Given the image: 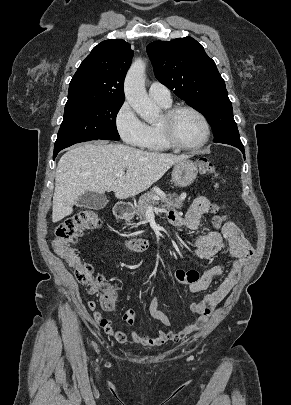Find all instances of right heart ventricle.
<instances>
[{
	"label": "right heart ventricle",
	"mask_w": 291,
	"mask_h": 405,
	"mask_svg": "<svg viewBox=\"0 0 291 405\" xmlns=\"http://www.w3.org/2000/svg\"><path fill=\"white\" fill-rule=\"evenodd\" d=\"M162 108L168 109L171 107V103H160L157 102ZM147 125V134L142 147L149 151L161 152L170 149L171 147L167 145L164 141L159 123H150Z\"/></svg>",
	"instance_id": "obj_1"
}]
</instances>
